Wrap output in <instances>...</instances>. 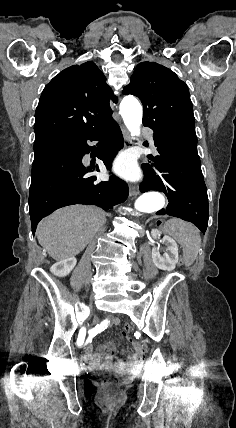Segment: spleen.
I'll return each instance as SVG.
<instances>
[{
  "label": "spleen",
  "instance_id": "1",
  "mask_svg": "<svg viewBox=\"0 0 236 428\" xmlns=\"http://www.w3.org/2000/svg\"><path fill=\"white\" fill-rule=\"evenodd\" d=\"M164 232L172 236L180 244L183 250L185 266L194 264V260H196L201 248L199 230L193 224H189V222H184V220H179V218H172V220L165 222Z\"/></svg>",
  "mask_w": 236,
  "mask_h": 428
}]
</instances>
